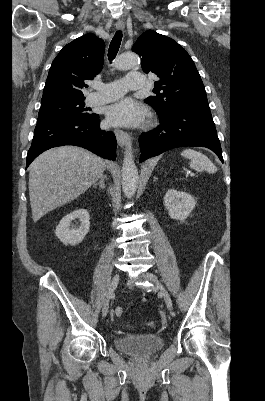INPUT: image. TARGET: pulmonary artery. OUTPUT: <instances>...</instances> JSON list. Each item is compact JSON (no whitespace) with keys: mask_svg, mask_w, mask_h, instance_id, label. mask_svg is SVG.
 I'll return each instance as SVG.
<instances>
[{"mask_svg":"<svg viewBox=\"0 0 265 401\" xmlns=\"http://www.w3.org/2000/svg\"><path fill=\"white\" fill-rule=\"evenodd\" d=\"M144 74L143 72H130L128 75L127 88L129 90H140L143 87ZM98 85H105L101 87L98 91L97 96L89 97V102L91 104H103L121 99V97L126 93L124 89V82L119 81V79L114 78L112 81H107L105 84L98 81Z\"/></svg>","mask_w":265,"mask_h":401,"instance_id":"pulmonary-artery-1","label":"pulmonary artery"}]
</instances>
